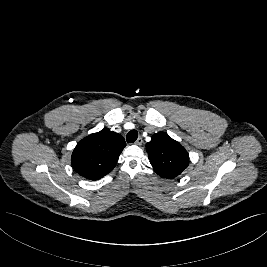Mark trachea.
<instances>
[{"instance_id":"3493384b","label":"trachea","mask_w":267,"mask_h":267,"mask_svg":"<svg viewBox=\"0 0 267 267\" xmlns=\"http://www.w3.org/2000/svg\"><path fill=\"white\" fill-rule=\"evenodd\" d=\"M138 138V132L136 130H131L126 135V140L128 143H133Z\"/></svg>"}]
</instances>
